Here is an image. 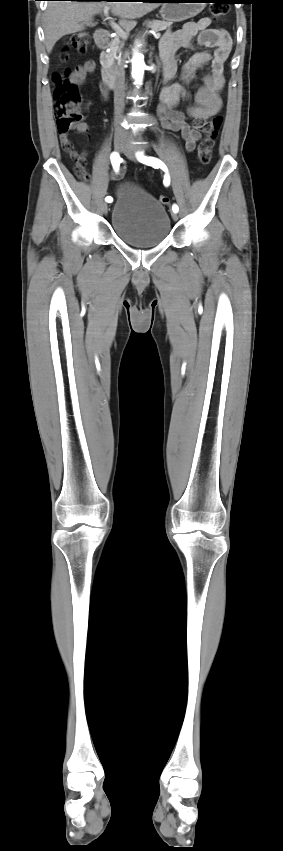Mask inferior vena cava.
<instances>
[{
	"label": "inferior vena cava",
	"mask_w": 283,
	"mask_h": 851,
	"mask_svg": "<svg viewBox=\"0 0 283 851\" xmlns=\"http://www.w3.org/2000/svg\"><path fill=\"white\" fill-rule=\"evenodd\" d=\"M124 90H125V77L122 71V68H118L116 71L115 83H114V114H115V131L117 133L124 134V130L120 127L119 122L122 117L125 103H124Z\"/></svg>",
	"instance_id": "1"
}]
</instances>
